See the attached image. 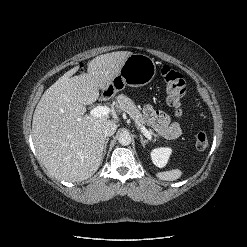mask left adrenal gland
<instances>
[{"mask_svg": "<svg viewBox=\"0 0 247 247\" xmlns=\"http://www.w3.org/2000/svg\"><path fill=\"white\" fill-rule=\"evenodd\" d=\"M140 141H141L142 146L145 148L148 141L145 140L142 135H140Z\"/></svg>", "mask_w": 247, "mask_h": 247, "instance_id": "obj_1", "label": "left adrenal gland"}]
</instances>
